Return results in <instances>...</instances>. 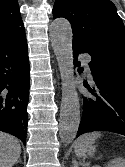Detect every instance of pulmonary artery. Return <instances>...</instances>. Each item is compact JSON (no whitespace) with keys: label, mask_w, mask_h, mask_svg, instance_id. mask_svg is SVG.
<instances>
[{"label":"pulmonary artery","mask_w":125,"mask_h":167,"mask_svg":"<svg viewBox=\"0 0 125 167\" xmlns=\"http://www.w3.org/2000/svg\"><path fill=\"white\" fill-rule=\"evenodd\" d=\"M83 59H85V57H82ZM87 72H88V74H89V76H90V71H89V68H87ZM91 77V76H90Z\"/></svg>","instance_id":"pulmonary-artery-1"}]
</instances>
